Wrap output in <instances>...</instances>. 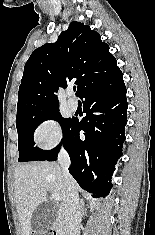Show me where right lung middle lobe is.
I'll use <instances>...</instances> for the list:
<instances>
[{
    "instance_id": "dd1d6c3e",
    "label": "right lung middle lobe",
    "mask_w": 155,
    "mask_h": 235,
    "mask_svg": "<svg viewBox=\"0 0 155 235\" xmlns=\"http://www.w3.org/2000/svg\"><path fill=\"white\" fill-rule=\"evenodd\" d=\"M46 120L58 121L64 133L61 143L51 151H44L34 147V131L38 125ZM72 122L73 119H65L60 115L59 108L44 111H31L17 116L16 127L18 131V151L20 153L18 161H44L47 157L55 153L62 145Z\"/></svg>"
}]
</instances>
